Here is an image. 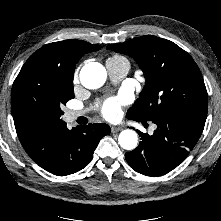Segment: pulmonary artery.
Here are the masks:
<instances>
[{"label":"pulmonary artery","mask_w":221,"mask_h":221,"mask_svg":"<svg viewBox=\"0 0 221 221\" xmlns=\"http://www.w3.org/2000/svg\"><path fill=\"white\" fill-rule=\"evenodd\" d=\"M106 68L111 80L113 82H118L127 75L130 69V65L128 60H126L125 58H109L106 61ZM82 114L83 113L80 111H70L67 114V118L69 121H73Z\"/></svg>","instance_id":"pulmonary-artery-1"}]
</instances>
